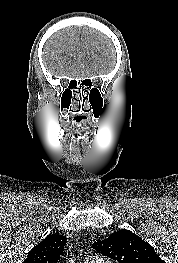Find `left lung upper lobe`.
<instances>
[{"instance_id": "obj_1", "label": "left lung upper lobe", "mask_w": 178, "mask_h": 263, "mask_svg": "<svg viewBox=\"0 0 178 263\" xmlns=\"http://www.w3.org/2000/svg\"><path fill=\"white\" fill-rule=\"evenodd\" d=\"M93 248L118 263H165L154 248L129 230H119Z\"/></svg>"}]
</instances>
